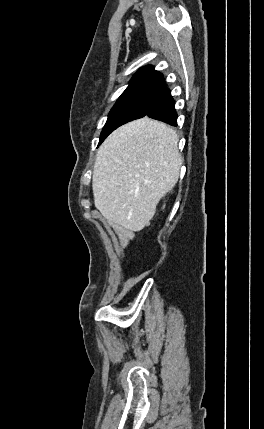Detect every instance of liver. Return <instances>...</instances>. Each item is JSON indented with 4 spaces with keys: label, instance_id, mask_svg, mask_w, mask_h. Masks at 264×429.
I'll list each match as a JSON object with an SVG mask.
<instances>
[{
    "label": "liver",
    "instance_id": "1",
    "mask_svg": "<svg viewBox=\"0 0 264 429\" xmlns=\"http://www.w3.org/2000/svg\"><path fill=\"white\" fill-rule=\"evenodd\" d=\"M181 165L172 128L148 117L129 122L113 131L97 152L95 207L110 224L138 232L177 183Z\"/></svg>",
    "mask_w": 264,
    "mask_h": 429
}]
</instances>
